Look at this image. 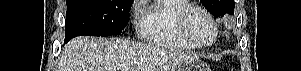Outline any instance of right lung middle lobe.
<instances>
[{
	"label": "right lung middle lobe",
	"mask_w": 301,
	"mask_h": 71,
	"mask_svg": "<svg viewBox=\"0 0 301 71\" xmlns=\"http://www.w3.org/2000/svg\"><path fill=\"white\" fill-rule=\"evenodd\" d=\"M133 0H66L65 41L80 35L121 34Z\"/></svg>",
	"instance_id": "right-lung-middle-lobe-1"
}]
</instances>
